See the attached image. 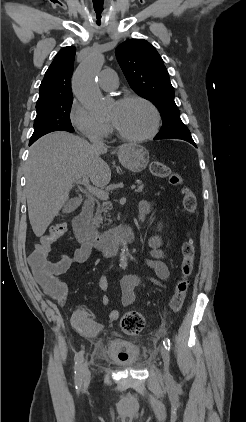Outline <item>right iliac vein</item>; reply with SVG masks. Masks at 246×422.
I'll list each match as a JSON object with an SVG mask.
<instances>
[{
    "mask_svg": "<svg viewBox=\"0 0 246 422\" xmlns=\"http://www.w3.org/2000/svg\"><path fill=\"white\" fill-rule=\"evenodd\" d=\"M82 374H83L84 385L87 386L90 383L91 375H90V371L86 362L82 366Z\"/></svg>",
    "mask_w": 246,
    "mask_h": 422,
    "instance_id": "63e3f726",
    "label": "right iliac vein"
}]
</instances>
